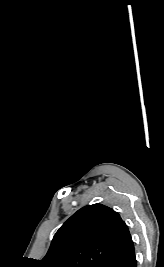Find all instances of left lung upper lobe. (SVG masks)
<instances>
[{
	"label": "left lung upper lobe",
	"instance_id": "obj_1",
	"mask_svg": "<svg viewBox=\"0 0 164 267\" xmlns=\"http://www.w3.org/2000/svg\"><path fill=\"white\" fill-rule=\"evenodd\" d=\"M128 227L113 209L87 205L57 231L41 267H101Z\"/></svg>",
	"mask_w": 164,
	"mask_h": 267
}]
</instances>
